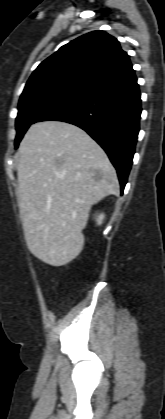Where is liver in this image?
Instances as JSON below:
<instances>
[{
    "label": "liver",
    "instance_id": "1",
    "mask_svg": "<svg viewBox=\"0 0 165 419\" xmlns=\"http://www.w3.org/2000/svg\"><path fill=\"white\" fill-rule=\"evenodd\" d=\"M18 155L17 194L28 249L44 263L63 266L83 249L92 205L118 194L116 171L86 132L60 121L33 124Z\"/></svg>",
    "mask_w": 165,
    "mask_h": 419
}]
</instances>
